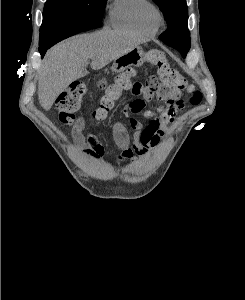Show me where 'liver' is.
Here are the masks:
<instances>
[{"label":"liver","mask_w":245,"mask_h":300,"mask_svg":"<svg viewBox=\"0 0 245 300\" xmlns=\"http://www.w3.org/2000/svg\"><path fill=\"white\" fill-rule=\"evenodd\" d=\"M140 42L133 34L103 29L77 35L55 45L46 53L39 72L38 97L41 106L48 111L73 81L86 76L89 60L91 68L99 70L138 47Z\"/></svg>","instance_id":"obj_1"}]
</instances>
